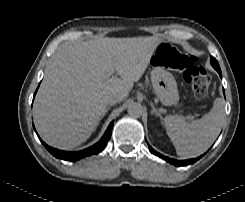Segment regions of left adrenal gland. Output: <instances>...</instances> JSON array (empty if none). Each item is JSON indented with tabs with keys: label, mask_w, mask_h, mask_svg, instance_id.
Instances as JSON below:
<instances>
[{
	"label": "left adrenal gland",
	"mask_w": 245,
	"mask_h": 202,
	"mask_svg": "<svg viewBox=\"0 0 245 202\" xmlns=\"http://www.w3.org/2000/svg\"><path fill=\"white\" fill-rule=\"evenodd\" d=\"M150 105H151V107H152L151 114H152V115L155 114L156 116H158V117L161 118V114H160V112L155 108L154 104L151 103Z\"/></svg>",
	"instance_id": "obj_1"
}]
</instances>
